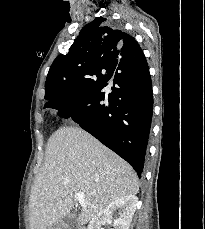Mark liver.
<instances>
[{
  "label": "liver",
  "instance_id": "1",
  "mask_svg": "<svg viewBox=\"0 0 205 229\" xmlns=\"http://www.w3.org/2000/svg\"><path fill=\"white\" fill-rule=\"evenodd\" d=\"M139 191L137 174L113 151L79 127H62L49 138L44 164L29 200L31 229H47L84 193L78 216L86 224L111 202Z\"/></svg>",
  "mask_w": 205,
  "mask_h": 229
}]
</instances>
